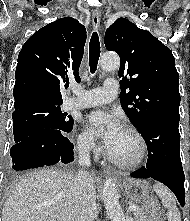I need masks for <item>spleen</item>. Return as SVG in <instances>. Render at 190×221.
Returning a JSON list of instances; mask_svg holds the SVG:
<instances>
[{"label":"spleen","instance_id":"1","mask_svg":"<svg viewBox=\"0 0 190 221\" xmlns=\"http://www.w3.org/2000/svg\"><path fill=\"white\" fill-rule=\"evenodd\" d=\"M153 189L161 199L163 206L168 210L166 214L168 221H181L174 194L161 183H155Z\"/></svg>","mask_w":190,"mask_h":221}]
</instances>
